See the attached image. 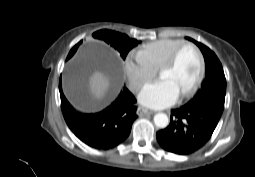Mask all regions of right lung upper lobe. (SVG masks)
<instances>
[{
	"instance_id": "cb5924a9",
	"label": "right lung upper lobe",
	"mask_w": 255,
	"mask_h": 177,
	"mask_svg": "<svg viewBox=\"0 0 255 177\" xmlns=\"http://www.w3.org/2000/svg\"><path fill=\"white\" fill-rule=\"evenodd\" d=\"M76 47H77V45H75V46L71 49V51H70V53H69L67 59H69V58L75 53Z\"/></svg>"
}]
</instances>
